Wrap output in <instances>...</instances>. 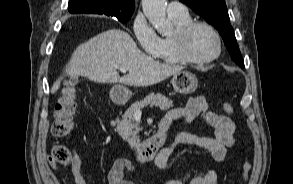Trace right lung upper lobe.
I'll list each match as a JSON object with an SVG mask.
<instances>
[{
  "mask_svg": "<svg viewBox=\"0 0 293 184\" xmlns=\"http://www.w3.org/2000/svg\"><path fill=\"white\" fill-rule=\"evenodd\" d=\"M134 0H69L68 10L72 14H104L107 16H131Z\"/></svg>",
  "mask_w": 293,
  "mask_h": 184,
  "instance_id": "obj_1",
  "label": "right lung upper lobe"
}]
</instances>
